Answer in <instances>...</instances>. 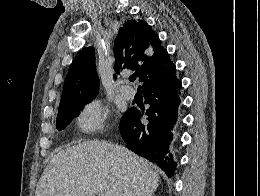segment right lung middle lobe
Wrapping results in <instances>:
<instances>
[{
	"mask_svg": "<svg viewBox=\"0 0 260 196\" xmlns=\"http://www.w3.org/2000/svg\"><path fill=\"white\" fill-rule=\"evenodd\" d=\"M96 95L84 97L72 102L70 105L58 111L56 127L58 130L64 129L71 120L77 116L79 110L87 103L91 102Z\"/></svg>",
	"mask_w": 260,
	"mask_h": 196,
	"instance_id": "dd1d6c3e",
	"label": "right lung middle lobe"
}]
</instances>
